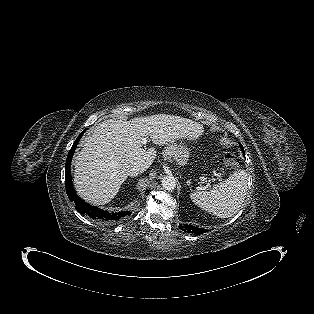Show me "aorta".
<instances>
[{
	"instance_id": "762f6f07",
	"label": "aorta",
	"mask_w": 314,
	"mask_h": 314,
	"mask_svg": "<svg viewBox=\"0 0 314 314\" xmlns=\"http://www.w3.org/2000/svg\"><path fill=\"white\" fill-rule=\"evenodd\" d=\"M161 185L165 190L173 191L176 188V180L173 176H164Z\"/></svg>"
}]
</instances>
